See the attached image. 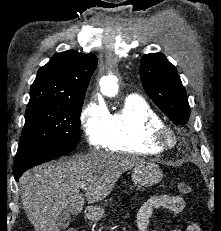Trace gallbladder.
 <instances>
[{
	"label": "gallbladder",
	"mask_w": 221,
	"mask_h": 231,
	"mask_svg": "<svg viewBox=\"0 0 221 231\" xmlns=\"http://www.w3.org/2000/svg\"><path fill=\"white\" fill-rule=\"evenodd\" d=\"M70 220H71L70 213L67 211H62L58 221V228L59 229L67 228L70 224Z\"/></svg>",
	"instance_id": "bac80fb5"
}]
</instances>
